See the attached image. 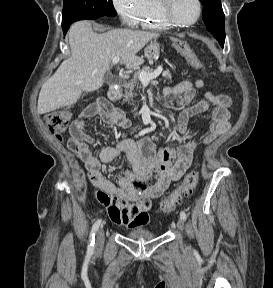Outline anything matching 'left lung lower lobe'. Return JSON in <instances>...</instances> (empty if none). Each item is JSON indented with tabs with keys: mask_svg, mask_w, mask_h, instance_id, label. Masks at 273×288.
<instances>
[{
	"mask_svg": "<svg viewBox=\"0 0 273 288\" xmlns=\"http://www.w3.org/2000/svg\"><path fill=\"white\" fill-rule=\"evenodd\" d=\"M214 37L218 40L220 45L223 47L224 46V42H225V35L224 36L214 35Z\"/></svg>",
	"mask_w": 273,
	"mask_h": 288,
	"instance_id": "obj_1",
	"label": "left lung lower lobe"
}]
</instances>
